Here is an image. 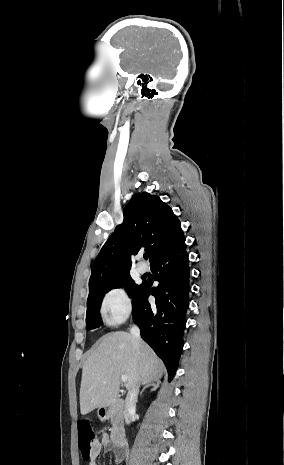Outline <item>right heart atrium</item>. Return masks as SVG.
I'll return each instance as SVG.
<instances>
[{"mask_svg":"<svg viewBox=\"0 0 284 465\" xmlns=\"http://www.w3.org/2000/svg\"><path fill=\"white\" fill-rule=\"evenodd\" d=\"M100 311L111 324H122L134 313V305L128 291L123 287L112 288L100 300Z\"/></svg>","mask_w":284,"mask_h":465,"instance_id":"right-heart-atrium-1","label":"right heart atrium"}]
</instances>
